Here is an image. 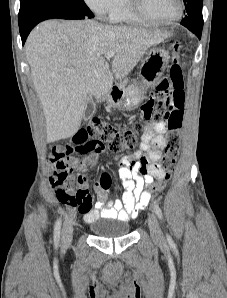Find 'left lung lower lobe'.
<instances>
[{
    "label": "left lung lower lobe",
    "instance_id": "1",
    "mask_svg": "<svg viewBox=\"0 0 227 298\" xmlns=\"http://www.w3.org/2000/svg\"><path fill=\"white\" fill-rule=\"evenodd\" d=\"M196 35H197L199 38H201V33H196Z\"/></svg>",
    "mask_w": 227,
    "mask_h": 298
}]
</instances>
